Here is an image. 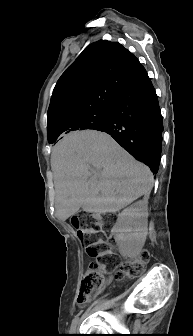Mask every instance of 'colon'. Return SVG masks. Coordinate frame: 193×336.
I'll return each mask as SVG.
<instances>
[{"label": "colon", "mask_w": 193, "mask_h": 336, "mask_svg": "<svg viewBox=\"0 0 193 336\" xmlns=\"http://www.w3.org/2000/svg\"><path fill=\"white\" fill-rule=\"evenodd\" d=\"M114 221V217L110 215L79 213L72 217L71 224L87 253L91 257L103 259L114 254ZM149 260V253L144 250L135 258L123 262L116 276L136 278L142 274ZM104 282L103 273L96 265H91L83 277L78 303H86L94 292L103 288Z\"/></svg>", "instance_id": "1"}]
</instances>
